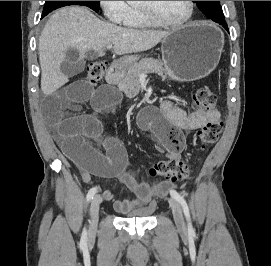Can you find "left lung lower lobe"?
Returning a JSON list of instances; mask_svg holds the SVG:
<instances>
[{"label": "left lung lower lobe", "instance_id": "0a47b994", "mask_svg": "<svg viewBox=\"0 0 271 266\" xmlns=\"http://www.w3.org/2000/svg\"><path fill=\"white\" fill-rule=\"evenodd\" d=\"M226 30H228V27H227V25H226V23L224 22V23H222L221 24Z\"/></svg>", "mask_w": 271, "mask_h": 266}]
</instances>
